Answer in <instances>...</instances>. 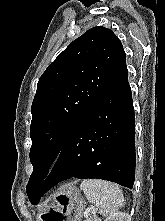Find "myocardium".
Returning <instances> with one entry per match:
<instances>
[{
	"label": "myocardium",
	"mask_w": 165,
	"mask_h": 221,
	"mask_svg": "<svg viewBox=\"0 0 165 221\" xmlns=\"http://www.w3.org/2000/svg\"><path fill=\"white\" fill-rule=\"evenodd\" d=\"M65 159V153L64 152H59L56 156V161L57 162H62Z\"/></svg>",
	"instance_id": "myocardium-1"
}]
</instances>
